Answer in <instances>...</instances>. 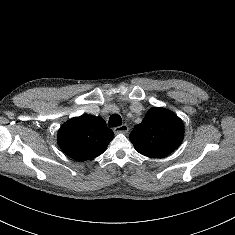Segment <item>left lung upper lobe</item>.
Instances as JSON below:
<instances>
[{
	"mask_svg": "<svg viewBox=\"0 0 235 235\" xmlns=\"http://www.w3.org/2000/svg\"><path fill=\"white\" fill-rule=\"evenodd\" d=\"M184 136L182 120L165 108H151L129 139L144 156L161 158L179 147Z\"/></svg>",
	"mask_w": 235,
	"mask_h": 235,
	"instance_id": "1",
	"label": "left lung upper lobe"
}]
</instances>
